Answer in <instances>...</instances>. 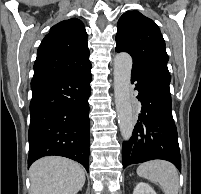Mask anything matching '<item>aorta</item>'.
I'll return each instance as SVG.
<instances>
[{
  "instance_id": "762f6f07",
  "label": "aorta",
  "mask_w": 201,
  "mask_h": 194,
  "mask_svg": "<svg viewBox=\"0 0 201 194\" xmlns=\"http://www.w3.org/2000/svg\"><path fill=\"white\" fill-rule=\"evenodd\" d=\"M132 58L128 53H118L114 58V95L118 123L124 140H129L134 129L130 80Z\"/></svg>"
}]
</instances>
